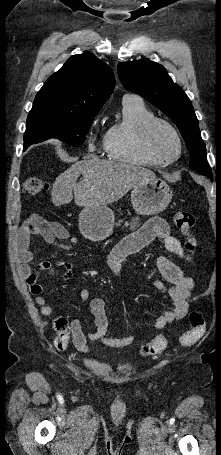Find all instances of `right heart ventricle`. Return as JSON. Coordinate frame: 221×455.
Listing matches in <instances>:
<instances>
[{
  "label": "right heart ventricle",
  "instance_id": "obj_1",
  "mask_svg": "<svg viewBox=\"0 0 221 455\" xmlns=\"http://www.w3.org/2000/svg\"><path fill=\"white\" fill-rule=\"evenodd\" d=\"M154 114L135 96L122 100V118L107 129L103 149L111 160L160 167L164 162L154 158L141 145L140 131Z\"/></svg>",
  "mask_w": 221,
  "mask_h": 455
}]
</instances>
